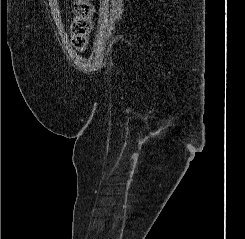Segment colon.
I'll return each mask as SVG.
<instances>
[{"label":"colon","mask_w":245,"mask_h":239,"mask_svg":"<svg viewBox=\"0 0 245 239\" xmlns=\"http://www.w3.org/2000/svg\"><path fill=\"white\" fill-rule=\"evenodd\" d=\"M95 8L90 0H74L70 25L71 41L79 51H85L93 29Z\"/></svg>","instance_id":"1"}]
</instances>
